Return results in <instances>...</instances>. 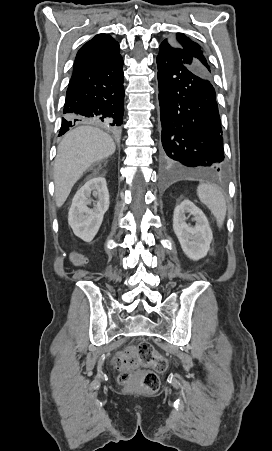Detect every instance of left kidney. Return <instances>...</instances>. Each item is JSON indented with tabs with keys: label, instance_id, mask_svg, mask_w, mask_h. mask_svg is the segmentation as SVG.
<instances>
[{
	"label": "left kidney",
	"instance_id": "5707ae66",
	"mask_svg": "<svg viewBox=\"0 0 272 451\" xmlns=\"http://www.w3.org/2000/svg\"><path fill=\"white\" fill-rule=\"evenodd\" d=\"M185 214L195 216L193 220L196 222V226L192 227L186 224ZM173 229L184 253L190 259H201V257L207 255L213 233L205 214L190 200H183L179 206H176L173 216Z\"/></svg>",
	"mask_w": 272,
	"mask_h": 451
}]
</instances>
